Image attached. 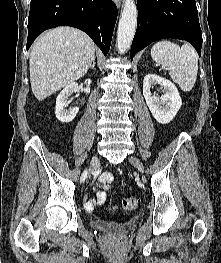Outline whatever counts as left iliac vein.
Here are the masks:
<instances>
[{"label": "left iliac vein", "instance_id": "1", "mask_svg": "<svg viewBox=\"0 0 221 263\" xmlns=\"http://www.w3.org/2000/svg\"><path fill=\"white\" fill-rule=\"evenodd\" d=\"M130 162H131V164L134 165L139 171L143 172V170H144L143 164H142V162H141L138 158L132 156V157H130Z\"/></svg>", "mask_w": 221, "mask_h": 263}]
</instances>
